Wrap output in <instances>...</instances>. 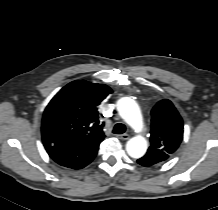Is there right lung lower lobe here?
Returning a JSON list of instances; mask_svg holds the SVG:
<instances>
[{
	"mask_svg": "<svg viewBox=\"0 0 218 210\" xmlns=\"http://www.w3.org/2000/svg\"><path fill=\"white\" fill-rule=\"evenodd\" d=\"M43 144L49 156L59 165L81 169L96 156L102 140L80 142L60 135H43Z\"/></svg>",
	"mask_w": 218,
	"mask_h": 210,
	"instance_id": "1",
	"label": "right lung lower lobe"
}]
</instances>
